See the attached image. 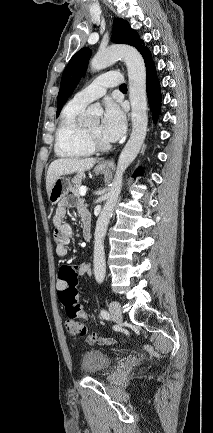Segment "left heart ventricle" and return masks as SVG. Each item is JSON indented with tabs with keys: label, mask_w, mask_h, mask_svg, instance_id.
<instances>
[{
	"label": "left heart ventricle",
	"mask_w": 213,
	"mask_h": 433,
	"mask_svg": "<svg viewBox=\"0 0 213 433\" xmlns=\"http://www.w3.org/2000/svg\"><path fill=\"white\" fill-rule=\"evenodd\" d=\"M87 130H89L91 133H93L95 136H97L99 139H101L102 141L108 142L102 135L101 133V129H100V124L99 122H95L94 124H92L91 126H89L87 128Z\"/></svg>",
	"instance_id": "left-heart-ventricle-1"
}]
</instances>
